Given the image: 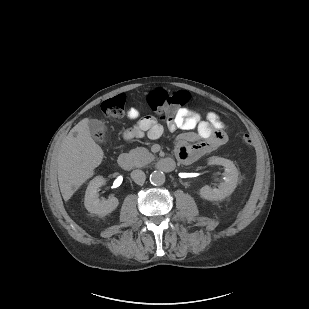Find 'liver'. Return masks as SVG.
Wrapping results in <instances>:
<instances>
[{
    "label": "liver",
    "mask_w": 309,
    "mask_h": 309,
    "mask_svg": "<svg viewBox=\"0 0 309 309\" xmlns=\"http://www.w3.org/2000/svg\"><path fill=\"white\" fill-rule=\"evenodd\" d=\"M89 119L84 118L62 141L57 155L58 181L62 197L68 201L94 175L104 152L91 137Z\"/></svg>",
    "instance_id": "6515ba94"
}]
</instances>
